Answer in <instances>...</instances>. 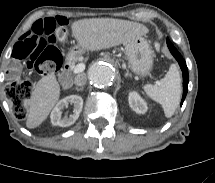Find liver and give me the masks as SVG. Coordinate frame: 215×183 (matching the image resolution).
<instances>
[{"mask_svg":"<svg viewBox=\"0 0 215 183\" xmlns=\"http://www.w3.org/2000/svg\"><path fill=\"white\" fill-rule=\"evenodd\" d=\"M72 35L84 51L107 49L146 35L149 30L140 23L111 18H93L75 21ZM60 97V85L54 73L42 77L28 101L27 128H36L44 122Z\"/></svg>","mask_w":215,"mask_h":183,"instance_id":"1","label":"liver"}]
</instances>
